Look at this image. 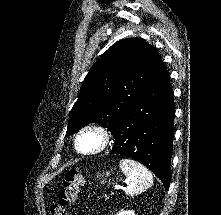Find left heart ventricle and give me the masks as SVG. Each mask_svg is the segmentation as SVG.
<instances>
[{"instance_id": "1", "label": "left heart ventricle", "mask_w": 221, "mask_h": 215, "mask_svg": "<svg viewBox=\"0 0 221 215\" xmlns=\"http://www.w3.org/2000/svg\"><path fill=\"white\" fill-rule=\"evenodd\" d=\"M99 137L95 133H87L80 139V148L85 151L93 150L99 145Z\"/></svg>"}]
</instances>
